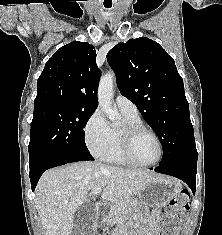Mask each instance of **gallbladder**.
<instances>
[{
	"label": "gallbladder",
	"mask_w": 222,
	"mask_h": 235,
	"mask_svg": "<svg viewBox=\"0 0 222 235\" xmlns=\"http://www.w3.org/2000/svg\"><path fill=\"white\" fill-rule=\"evenodd\" d=\"M95 219V205L85 202L78 207L74 215V227L71 235H86Z\"/></svg>",
	"instance_id": "gallbladder-1"
}]
</instances>
